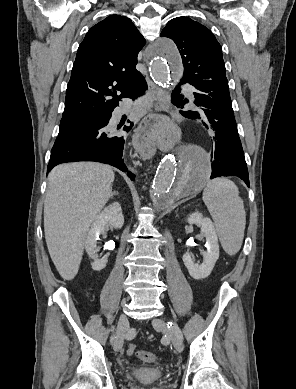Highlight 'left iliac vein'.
<instances>
[{
    "instance_id": "4c4485c4",
    "label": "left iliac vein",
    "mask_w": 296,
    "mask_h": 389,
    "mask_svg": "<svg viewBox=\"0 0 296 389\" xmlns=\"http://www.w3.org/2000/svg\"><path fill=\"white\" fill-rule=\"evenodd\" d=\"M153 326L162 331L168 339H170L177 352L183 351V341L182 339L172 330L169 329L166 322L163 319L155 318L152 321Z\"/></svg>"
}]
</instances>
